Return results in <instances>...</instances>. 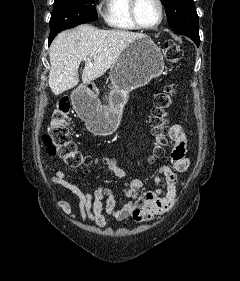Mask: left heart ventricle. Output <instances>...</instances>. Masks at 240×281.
I'll list each match as a JSON object with an SVG mask.
<instances>
[{"instance_id": "obj_1", "label": "left heart ventricle", "mask_w": 240, "mask_h": 281, "mask_svg": "<svg viewBox=\"0 0 240 281\" xmlns=\"http://www.w3.org/2000/svg\"><path fill=\"white\" fill-rule=\"evenodd\" d=\"M137 14L143 25H154L159 20V6L155 0H139Z\"/></svg>"}]
</instances>
